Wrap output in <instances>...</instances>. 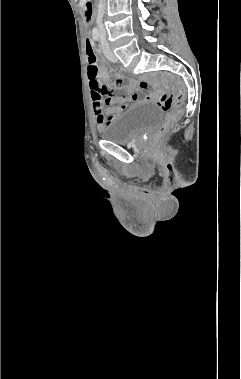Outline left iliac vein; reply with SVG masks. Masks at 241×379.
Wrapping results in <instances>:
<instances>
[{
	"mask_svg": "<svg viewBox=\"0 0 241 379\" xmlns=\"http://www.w3.org/2000/svg\"><path fill=\"white\" fill-rule=\"evenodd\" d=\"M102 48H103L104 54L108 60H110L112 62L117 61L116 55L113 53V51L110 49L109 45L105 41H102Z\"/></svg>",
	"mask_w": 241,
	"mask_h": 379,
	"instance_id": "4c4485c4",
	"label": "left iliac vein"
}]
</instances>
